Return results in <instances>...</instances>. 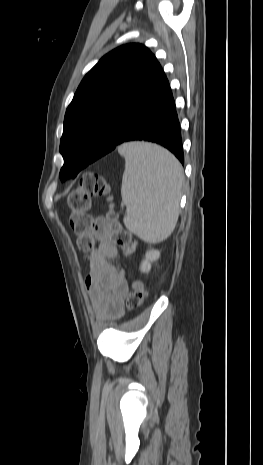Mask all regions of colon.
<instances>
[{
	"label": "colon",
	"instance_id": "5ec220e1",
	"mask_svg": "<svg viewBox=\"0 0 263 465\" xmlns=\"http://www.w3.org/2000/svg\"><path fill=\"white\" fill-rule=\"evenodd\" d=\"M110 186L99 173H85L77 186L67 198L70 209L69 226L77 237V246L84 253L91 252L95 247V233L99 227H105L113 243L125 253L131 254L136 249V242L121 226L116 215L110 212L104 218L95 219L89 213L91 199L97 196H109ZM146 296V287L141 281H135L126 297L128 310L141 306Z\"/></svg>",
	"mask_w": 263,
	"mask_h": 465
}]
</instances>
